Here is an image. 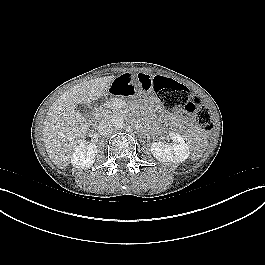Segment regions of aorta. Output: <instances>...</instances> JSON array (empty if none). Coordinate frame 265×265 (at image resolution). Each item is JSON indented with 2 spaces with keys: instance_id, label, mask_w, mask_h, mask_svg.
<instances>
[{
  "instance_id": "aorta-1",
  "label": "aorta",
  "mask_w": 265,
  "mask_h": 265,
  "mask_svg": "<svg viewBox=\"0 0 265 265\" xmlns=\"http://www.w3.org/2000/svg\"><path fill=\"white\" fill-rule=\"evenodd\" d=\"M112 124L115 128L121 129L124 127V119L120 115H116L112 118Z\"/></svg>"
}]
</instances>
